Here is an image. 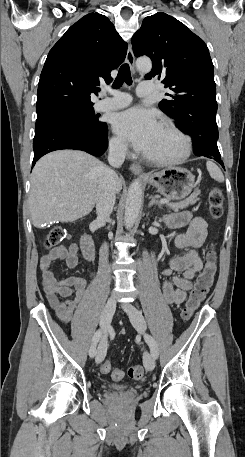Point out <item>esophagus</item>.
I'll return each mask as SVG.
<instances>
[{"mask_svg": "<svg viewBox=\"0 0 245 457\" xmlns=\"http://www.w3.org/2000/svg\"><path fill=\"white\" fill-rule=\"evenodd\" d=\"M125 61L130 66V69L134 73L135 72V58H134V54H133L131 46L128 47ZM129 168H130L131 172L134 173L135 175H139L141 177L149 176L147 173H144L142 170V167H140V165H138L136 163H132Z\"/></svg>", "mask_w": 245, "mask_h": 457, "instance_id": "obj_1", "label": "esophagus"}]
</instances>
